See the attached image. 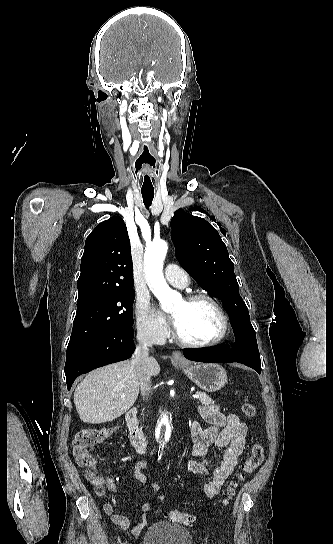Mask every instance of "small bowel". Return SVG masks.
<instances>
[{"label": "small bowel", "mask_w": 333, "mask_h": 544, "mask_svg": "<svg viewBox=\"0 0 333 544\" xmlns=\"http://www.w3.org/2000/svg\"><path fill=\"white\" fill-rule=\"evenodd\" d=\"M198 410L208 426L201 427L196 422L190 424L193 459L187 462L186 469L193 474L211 476L210 481L203 485L202 490L207 497L213 498L220 493L225 481L234 472L239 462L246 442L247 425L235 414H224L217 405H201ZM211 446H215L218 451L223 452L221 463L212 468L207 459ZM147 466L148 462L142 460L136 463L133 470L134 477L143 485L147 483V477L143 472ZM117 481L118 477L112 474L101 477L98 483L93 484L95 495L103 497L107 491L116 493ZM158 490L159 486L155 484L150 494L155 495ZM162 498L163 495L158 494V499ZM115 507V502H106L103 505V511L121 530H128L132 527L130 533L136 537L147 526V512L151 510L150 504L143 503L141 505L143 512L138 519L117 513Z\"/></svg>", "instance_id": "1"}]
</instances>
